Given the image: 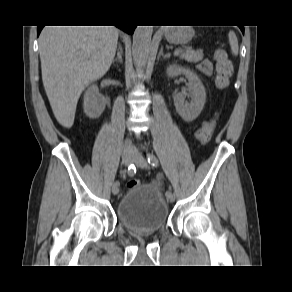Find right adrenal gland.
Returning <instances> with one entry per match:
<instances>
[{
    "label": "right adrenal gland",
    "mask_w": 292,
    "mask_h": 292,
    "mask_svg": "<svg viewBox=\"0 0 292 292\" xmlns=\"http://www.w3.org/2000/svg\"><path fill=\"white\" fill-rule=\"evenodd\" d=\"M122 53H123L122 47H121V45H118L117 57L115 59H113V63L117 62V61L120 63L123 62Z\"/></svg>",
    "instance_id": "2a0ac1e0"
}]
</instances>
